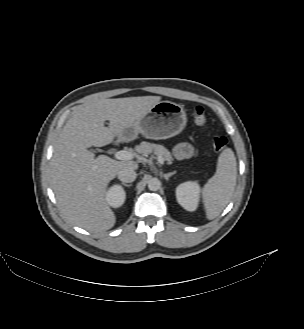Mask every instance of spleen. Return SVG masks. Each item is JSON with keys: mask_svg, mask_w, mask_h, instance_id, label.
<instances>
[{"mask_svg": "<svg viewBox=\"0 0 304 329\" xmlns=\"http://www.w3.org/2000/svg\"><path fill=\"white\" fill-rule=\"evenodd\" d=\"M236 166L234 152L229 148L224 149L218 158L216 173L202 191L207 219L216 218L230 202L236 186Z\"/></svg>", "mask_w": 304, "mask_h": 329, "instance_id": "spleen-1", "label": "spleen"}]
</instances>
